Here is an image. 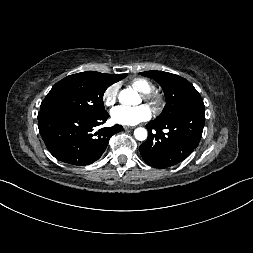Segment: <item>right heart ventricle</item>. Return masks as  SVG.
<instances>
[{
    "label": "right heart ventricle",
    "instance_id": "1",
    "mask_svg": "<svg viewBox=\"0 0 253 253\" xmlns=\"http://www.w3.org/2000/svg\"><path fill=\"white\" fill-rule=\"evenodd\" d=\"M130 84L133 88L138 90L139 92L147 93L153 90L154 86L152 82L143 77H136L130 81Z\"/></svg>",
    "mask_w": 253,
    "mask_h": 253
}]
</instances>
